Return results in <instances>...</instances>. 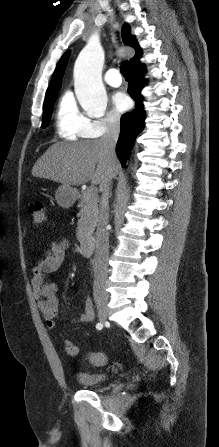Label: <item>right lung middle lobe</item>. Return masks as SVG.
I'll list each match as a JSON object with an SVG mask.
<instances>
[{"label": "right lung middle lobe", "mask_w": 219, "mask_h": 447, "mask_svg": "<svg viewBox=\"0 0 219 447\" xmlns=\"http://www.w3.org/2000/svg\"><path fill=\"white\" fill-rule=\"evenodd\" d=\"M57 98V94L52 95L45 99L44 105H43V117H42V126L46 127L49 123L50 116L52 113L54 102Z\"/></svg>", "instance_id": "obj_1"}]
</instances>
